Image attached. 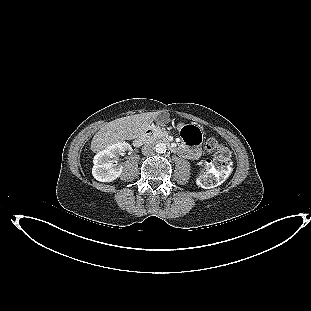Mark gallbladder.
Returning a JSON list of instances; mask_svg holds the SVG:
<instances>
[{
  "instance_id": "1",
  "label": "gallbladder",
  "mask_w": 311,
  "mask_h": 311,
  "mask_svg": "<svg viewBox=\"0 0 311 311\" xmlns=\"http://www.w3.org/2000/svg\"><path fill=\"white\" fill-rule=\"evenodd\" d=\"M170 118H169V113L168 112H161L159 113L158 117H157V122L161 125L166 124L167 122H169Z\"/></svg>"
}]
</instances>
